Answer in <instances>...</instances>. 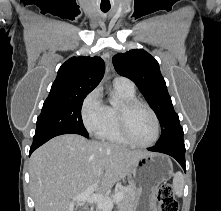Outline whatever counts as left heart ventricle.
<instances>
[{"label":"left heart ventricle","mask_w":221,"mask_h":211,"mask_svg":"<svg viewBox=\"0 0 221 211\" xmlns=\"http://www.w3.org/2000/svg\"><path fill=\"white\" fill-rule=\"evenodd\" d=\"M129 130L139 143L150 142L155 135V124L149 111L143 107L133 109L128 117Z\"/></svg>","instance_id":"b2bd125f"}]
</instances>
